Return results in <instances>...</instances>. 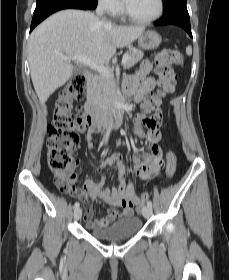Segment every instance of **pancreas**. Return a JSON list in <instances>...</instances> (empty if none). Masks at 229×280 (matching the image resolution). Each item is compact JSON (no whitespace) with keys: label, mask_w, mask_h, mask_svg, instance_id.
Returning <instances> with one entry per match:
<instances>
[{"label":"pancreas","mask_w":229,"mask_h":280,"mask_svg":"<svg viewBox=\"0 0 229 280\" xmlns=\"http://www.w3.org/2000/svg\"><path fill=\"white\" fill-rule=\"evenodd\" d=\"M128 54V61L125 69H128L138 63L144 56L143 51L131 48ZM116 90V84L112 77L99 75L87 85L88 99L94 101L98 106H106L113 97Z\"/></svg>","instance_id":"cf45deb5"}]
</instances>
